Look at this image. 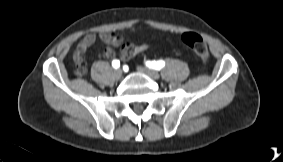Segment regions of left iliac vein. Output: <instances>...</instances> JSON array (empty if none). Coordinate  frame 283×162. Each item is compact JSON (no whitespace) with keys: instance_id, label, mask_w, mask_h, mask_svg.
<instances>
[{"instance_id":"1","label":"left iliac vein","mask_w":283,"mask_h":162,"mask_svg":"<svg viewBox=\"0 0 283 162\" xmlns=\"http://www.w3.org/2000/svg\"><path fill=\"white\" fill-rule=\"evenodd\" d=\"M137 70L140 71L141 73L149 76L152 79H155V80L160 79L159 73L155 70H151V69H148L146 67H137Z\"/></svg>"}]
</instances>
